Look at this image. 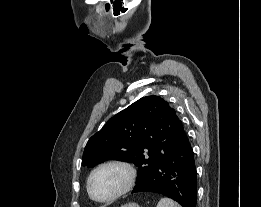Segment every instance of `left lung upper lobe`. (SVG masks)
Returning <instances> with one entry per match:
<instances>
[{
	"instance_id": "left-lung-upper-lobe-1",
	"label": "left lung upper lobe",
	"mask_w": 261,
	"mask_h": 207,
	"mask_svg": "<svg viewBox=\"0 0 261 207\" xmlns=\"http://www.w3.org/2000/svg\"><path fill=\"white\" fill-rule=\"evenodd\" d=\"M182 121L167 101L146 96L112 117L86 144L82 165L106 160L132 162L138 167L136 183L144 179L179 144Z\"/></svg>"
}]
</instances>
